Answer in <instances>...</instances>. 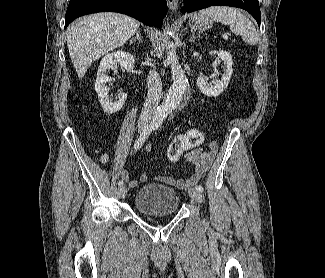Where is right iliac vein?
<instances>
[{"mask_svg": "<svg viewBox=\"0 0 325 278\" xmlns=\"http://www.w3.org/2000/svg\"><path fill=\"white\" fill-rule=\"evenodd\" d=\"M126 192H127V189L125 186H120L118 189H117V194L120 198H124L126 196Z\"/></svg>", "mask_w": 325, "mask_h": 278, "instance_id": "right-iliac-vein-1", "label": "right iliac vein"}]
</instances>
